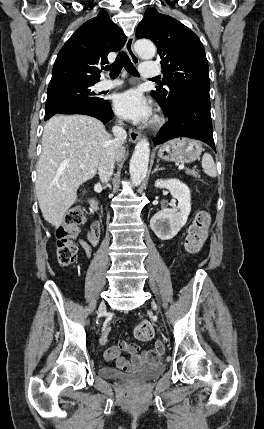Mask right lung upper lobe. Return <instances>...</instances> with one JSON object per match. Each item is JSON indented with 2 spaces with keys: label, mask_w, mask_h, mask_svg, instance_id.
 <instances>
[{
  "label": "right lung upper lobe",
  "mask_w": 264,
  "mask_h": 429,
  "mask_svg": "<svg viewBox=\"0 0 264 429\" xmlns=\"http://www.w3.org/2000/svg\"><path fill=\"white\" fill-rule=\"evenodd\" d=\"M126 42L123 31L105 10L81 25L68 39L56 58L48 88L67 84H95L100 80L99 65L107 55Z\"/></svg>",
  "instance_id": "1"
}]
</instances>
